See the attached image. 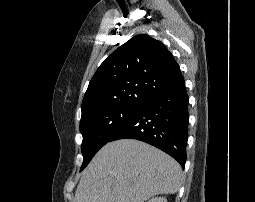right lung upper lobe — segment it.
<instances>
[{
    "mask_svg": "<svg viewBox=\"0 0 255 202\" xmlns=\"http://www.w3.org/2000/svg\"><path fill=\"white\" fill-rule=\"evenodd\" d=\"M184 84L179 65L164 44L149 35H136L94 74L82 102V117L109 107L141 106Z\"/></svg>",
    "mask_w": 255,
    "mask_h": 202,
    "instance_id": "1",
    "label": "right lung upper lobe"
}]
</instances>
